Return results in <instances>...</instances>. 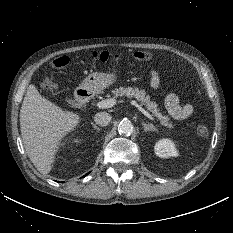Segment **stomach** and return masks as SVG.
Wrapping results in <instances>:
<instances>
[{"instance_id":"obj_1","label":"stomach","mask_w":233,"mask_h":233,"mask_svg":"<svg viewBox=\"0 0 233 233\" xmlns=\"http://www.w3.org/2000/svg\"><path fill=\"white\" fill-rule=\"evenodd\" d=\"M117 79L116 73L96 72L89 74L80 85V88L95 92L107 88Z\"/></svg>"}]
</instances>
